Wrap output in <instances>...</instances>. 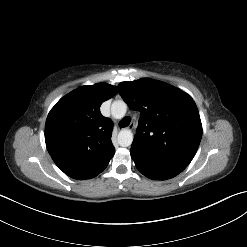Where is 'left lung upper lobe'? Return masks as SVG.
<instances>
[{"label":"left lung upper lobe","mask_w":247,"mask_h":247,"mask_svg":"<svg viewBox=\"0 0 247 247\" xmlns=\"http://www.w3.org/2000/svg\"><path fill=\"white\" fill-rule=\"evenodd\" d=\"M118 92L131 109L141 114L132 147L183 171L202 137L199 112L191 96L150 78L121 82Z\"/></svg>","instance_id":"obj_1"}]
</instances>
